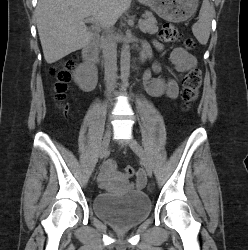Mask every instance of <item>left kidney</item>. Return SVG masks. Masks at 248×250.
Returning a JSON list of instances; mask_svg holds the SVG:
<instances>
[{
	"label": "left kidney",
	"instance_id": "1",
	"mask_svg": "<svg viewBox=\"0 0 248 250\" xmlns=\"http://www.w3.org/2000/svg\"><path fill=\"white\" fill-rule=\"evenodd\" d=\"M157 86H158V88L160 89V91H162V90L164 89V87H165V84H164V82H159V83L157 84Z\"/></svg>",
	"mask_w": 248,
	"mask_h": 250
}]
</instances>
